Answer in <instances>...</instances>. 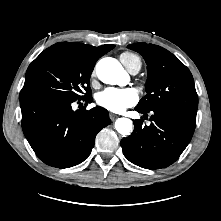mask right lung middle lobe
I'll use <instances>...</instances> for the list:
<instances>
[{
	"label": "right lung middle lobe",
	"instance_id": "right-lung-middle-lobe-1",
	"mask_svg": "<svg viewBox=\"0 0 221 221\" xmlns=\"http://www.w3.org/2000/svg\"><path fill=\"white\" fill-rule=\"evenodd\" d=\"M94 63L66 49H46L28 67L21 96L50 94L72 101L91 96Z\"/></svg>",
	"mask_w": 221,
	"mask_h": 221
}]
</instances>
